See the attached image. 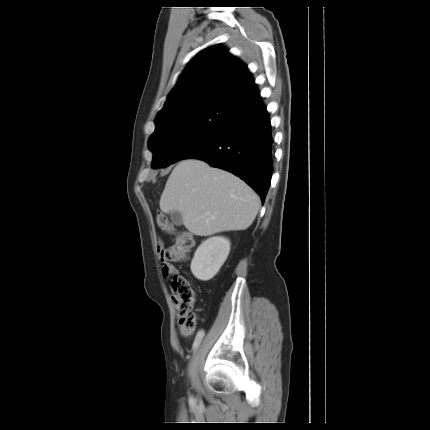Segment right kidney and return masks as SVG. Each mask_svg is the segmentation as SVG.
I'll list each match as a JSON object with an SVG mask.
<instances>
[{
    "label": "right kidney",
    "mask_w": 430,
    "mask_h": 430,
    "mask_svg": "<svg viewBox=\"0 0 430 430\" xmlns=\"http://www.w3.org/2000/svg\"><path fill=\"white\" fill-rule=\"evenodd\" d=\"M230 241L216 236L202 242L191 262V272L200 281H209L220 270L230 251Z\"/></svg>",
    "instance_id": "right-kidney-1"
}]
</instances>
